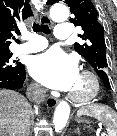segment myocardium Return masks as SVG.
I'll use <instances>...</instances> for the list:
<instances>
[{
	"instance_id": "1",
	"label": "myocardium",
	"mask_w": 117,
	"mask_h": 136,
	"mask_svg": "<svg viewBox=\"0 0 117 136\" xmlns=\"http://www.w3.org/2000/svg\"><path fill=\"white\" fill-rule=\"evenodd\" d=\"M81 77L87 79L90 83V90L85 95H78L73 92L68 94V97L71 101L75 103H88L94 100L100 93V81L95 73L89 70H83L79 74Z\"/></svg>"
}]
</instances>
